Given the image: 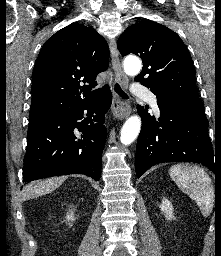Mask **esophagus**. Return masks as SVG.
Segmentation results:
<instances>
[{
	"label": "esophagus",
	"mask_w": 221,
	"mask_h": 256,
	"mask_svg": "<svg viewBox=\"0 0 221 256\" xmlns=\"http://www.w3.org/2000/svg\"><path fill=\"white\" fill-rule=\"evenodd\" d=\"M112 68L114 70L116 80L122 85L124 89L128 86V78L122 70V66L119 59V53L114 40L109 44ZM112 112L115 119H125L131 113V107L128 101L122 100L117 95L114 96Z\"/></svg>",
	"instance_id": "obj_1"
}]
</instances>
